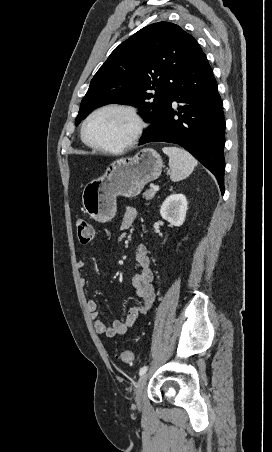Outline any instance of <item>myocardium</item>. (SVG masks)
Returning a JSON list of instances; mask_svg holds the SVG:
<instances>
[{
    "label": "myocardium",
    "instance_id": "1",
    "mask_svg": "<svg viewBox=\"0 0 272 452\" xmlns=\"http://www.w3.org/2000/svg\"><path fill=\"white\" fill-rule=\"evenodd\" d=\"M108 110L122 111V112L128 114L134 122V130H133L131 136L125 143H123L119 146H106V145L98 144V143L92 141L87 134L88 124L91 121V119L93 117H95L97 114L104 112V111H108ZM144 129H145V122L135 108H133L129 105H125V104H106V105L98 107L97 109L92 111L87 116V118L84 120L82 128H81V135H82L83 141L88 146H90L96 150L108 152V153H121V152L128 150L129 148H131L138 142V140L140 139V137L142 136V134L144 132Z\"/></svg>",
    "mask_w": 272,
    "mask_h": 452
}]
</instances>
